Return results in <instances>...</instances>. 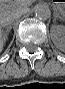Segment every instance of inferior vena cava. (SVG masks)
<instances>
[{
	"label": "inferior vena cava",
	"instance_id": "1",
	"mask_svg": "<svg viewBox=\"0 0 65 89\" xmlns=\"http://www.w3.org/2000/svg\"><path fill=\"white\" fill-rule=\"evenodd\" d=\"M21 16H22V13L15 14V15L12 16L11 18H9L8 20H3V18H2V20H0V22H1L2 24L5 23L6 25L12 24L14 21L18 20Z\"/></svg>",
	"mask_w": 65,
	"mask_h": 89
}]
</instances>
